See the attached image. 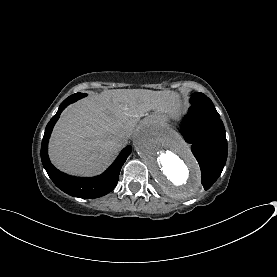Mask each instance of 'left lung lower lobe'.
<instances>
[{
    "label": "left lung lower lobe",
    "instance_id": "1",
    "mask_svg": "<svg viewBox=\"0 0 277 277\" xmlns=\"http://www.w3.org/2000/svg\"><path fill=\"white\" fill-rule=\"evenodd\" d=\"M181 132L199 162L207 190L220 176L227 159L225 128L216 110L190 107Z\"/></svg>",
    "mask_w": 277,
    "mask_h": 277
}]
</instances>
